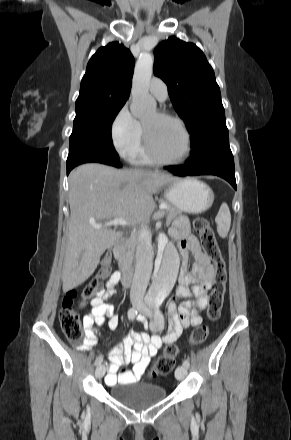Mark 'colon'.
I'll return each instance as SVG.
<instances>
[{"mask_svg": "<svg viewBox=\"0 0 291 440\" xmlns=\"http://www.w3.org/2000/svg\"><path fill=\"white\" fill-rule=\"evenodd\" d=\"M194 229L199 234L203 251L215 266V278L213 281L212 292L208 303V315L210 319L216 320L220 316L225 293L227 278L226 264L222 256L220 247L217 243L214 231L210 222L204 217H197L194 220ZM111 271V256H106L100 266L97 276L87 285L79 295L80 302L92 298L102 291L103 283L108 279ZM78 293L72 289L66 293L63 300V307L59 312V322L61 329L67 339L72 343L84 341L85 333L79 321L81 306L75 308L74 301ZM208 336L206 326L198 327L191 336L190 343L197 344ZM180 352V346L169 344L160 356L156 366L151 368L153 375H165L171 372L176 356Z\"/></svg>", "mask_w": 291, "mask_h": 440, "instance_id": "colon-1", "label": "colon"}]
</instances>
